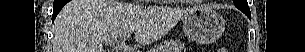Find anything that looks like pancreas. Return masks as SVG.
Segmentation results:
<instances>
[{
  "instance_id": "obj_1",
  "label": "pancreas",
  "mask_w": 305,
  "mask_h": 52,
  "mask_svg": "<svg viewBox=\"0 0 305 52\" xmlns=\"http://www.w3.org/2000/svg\"><path fill=\"white\" fill-rule=\"evenodd\" d=\"M185 50L184 43L179 40L166 41L154 50V52H182Z\"/></svg>"
}]
</instances>
